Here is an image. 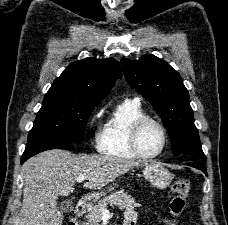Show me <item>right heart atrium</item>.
Listing matches in <instances>:
<instances>
[{"mask_svg": "<svg viewBox=\"0 0 228 225\" xmlns=\"http://www.w3.org/2000/svg\"><path fill=\"white\" fill-rule=\"evenodd\" d=\"M103 112H104V107L96 109L92 113V115L90 116L89 124L90 125H94L100 119V117L102 116Z\"/></svg>", "mask_w": 228, "mask_h": 225, "instance_id": "obj_1", "label": "right heart atrium"}]
</instances>
